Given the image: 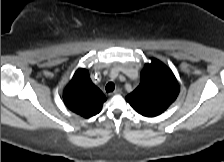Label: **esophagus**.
Wrapping results in <instances>:
<instances>
[{
  "instance_id": "obj_1",
  "label": "esophagus",
  "mask_w": 224,
  "mask_h": 162,
  "mask_svg": "<svg viewBox=\"0 0 224 162\" xmlns=\"http://www.w3.org/2000/svg\"><path fill=\"white\" fill-rule=\"evenodd\" d=\"M122 90L120 88L115 89L112 93H109L110 96L121 94Z\"/></svg>"
}]
</instances>
